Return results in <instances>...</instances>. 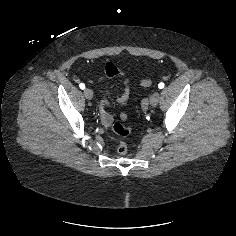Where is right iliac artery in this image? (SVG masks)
<instances>
[{
	"label": "right iliac artery",
	"instance_id": "82829eb1",
	"mask_svg": "<svg viewBox=\"0 0 236 236\" xmlns=\"http://www.w3.org/2000/svg\"><path fill=\"white\" fill-rule=\"evenodd\" d=\"M79 87H80L81 89H85V84L80 83V84H79Z\"/></svg>",
	"mask_w": 236,
	"mask_h": 236
}]
</instances>
